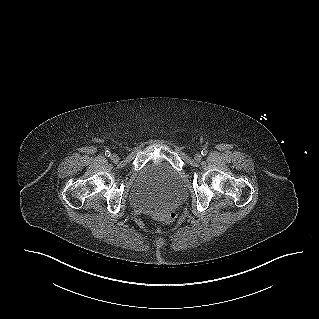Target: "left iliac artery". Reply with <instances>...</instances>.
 Wrapping results in <instances>:
<instances>
[{"instance_id": "obj_1", "label": "left iliac artery", "mask_w": 319, "mask_h": 319, "mask_svg": "<svg viewBox=\"0 0 319 319\" xmlns=\"http://www.w3.org/2000/svg\"><path fill=\"white\" fill-rule=\"evenodd\" d=\"M207 150H205V149H203L202 151H201V154L203 155V156H206L207 155Z\"/></svg>"}]
</instances>
